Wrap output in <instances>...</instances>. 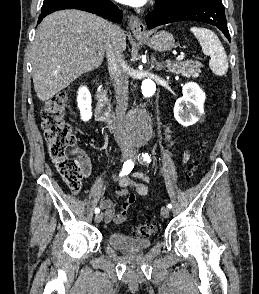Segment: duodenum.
I'll return each instance as SVG.
<instances>
[{
  "instance_id": "1",
  "label": "duodenum",
  "mask_w": 259,
  "mask_h": 294,
  "mask_svg": "<svg viewBox=\"0 0 259 294\" xmlns=\"http://www.w3.org/2000/svg\"><path fill=\"white\" fill-rule=\"evenodd\" d=\"M94 98L96 102L95 117L98 121L104 123L110 131H116L119 128V121L111 109L106 92L99 87L97 81L93 84Z\"/></svg>"
}]
</instances>
